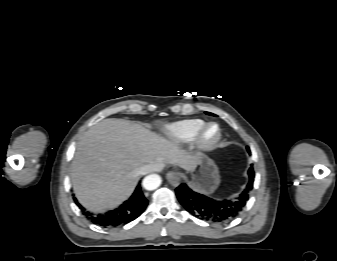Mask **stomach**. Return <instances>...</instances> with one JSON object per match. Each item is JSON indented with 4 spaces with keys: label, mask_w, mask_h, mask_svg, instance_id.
I'll return each mask as SVG.
<instances>
[{
    "label": "stomach",
    "mask_w": 337,
    "mask_h": 261,
    "mask_svg": "<svg viewBox=\"0 0 337 261\" xmlns=\"http://www.w3.org/2000/svg\"><path fill=\"white\" fill-rule=\"evenodd\" d=\"M190 172V186L196 191L211 194L219 186L220 176L217 165L205 154L198 156L197 165Z\"/></svg>",
    "instance_id": "0dacf381"
}]
</instances>
